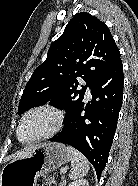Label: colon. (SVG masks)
<instances>
[{
  "instance_id": "obj_1",
  "label": "colon",
  "mask_w": 138,
  "mask_h": 186,
  "mask_svg": "<svg viewBox=\"0 0 138 186\" xmlns=\"http://www.w3.org/2000/svg\"><path fill=\"white\" fill-rule=\"evenodd\" d=\"M40 186H47V181L45 179H40Z\"/></svg>"
}]
</instances>
